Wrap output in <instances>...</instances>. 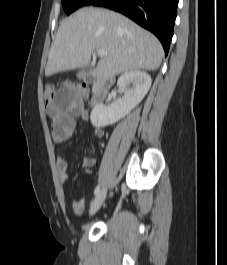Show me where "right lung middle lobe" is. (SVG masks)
Wrapping results in <instances>:
<instances>
[{"label":"right lung middle lobe","mask_w":227,"mask_h":265,"mask_svg":"<svg viewBox=\"0 0 227 265\" xmlns=\"http://www.w3.org/2000/svg\"><path fill=\"white\" fill-rule=\"evenodd\" d=\"M93 0H62L64 11L67 15L75 11L76 9L89 5Z\"/></svg>","instance_id":"obj_1"}]
</instances>
